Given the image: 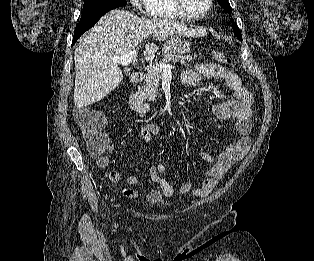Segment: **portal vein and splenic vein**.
Returning a JSON list of instances; mask_svg holds the SVG:
<instances>
[{"mask_svg": "<svg viewBox=\"0 0 314 261\" xmlns=\"http://www.w3.org/2000/svg\"><path fill=\"white\" fill-rule=\"evenodd\" d=\"M137 53H138V49H134L133 51H131V52H129V53H127L121 57H114L113 61L116 63H119L123 66H127L130 63L136 61ZM154 67H158V68L162 69L163 72H170L171 69L173 68L172 65H169V64H166L163 62L156 64Z\"/></svg>", "mask_w": 314, "mask_h": 261, "instance_id": "1", "label": "portal vein and splenic vein"}]
</instances>
